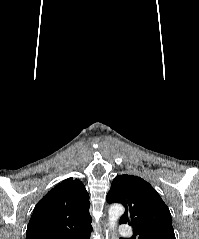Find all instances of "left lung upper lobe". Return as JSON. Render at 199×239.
Here are the masks:
<instances>
[{"label": "left lung upper lobe", "instance_id": "left-lung-upper-lobe-1", "mask_svg": "<svg viewBox=\"0 0 199 239\" xmlns=\"http://www.w3.org/2000/svg\"><path fill=\"white\" fill-rule=\"evenodd\" d=\"M108 203H122L120 224H130L139 239H176L171 213L153 187L140 177L116 176L107 194Z\"/></svg>", "mask_w": 199, "mask_h": 239}]
</instances>
